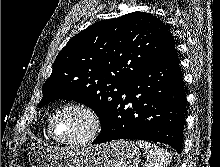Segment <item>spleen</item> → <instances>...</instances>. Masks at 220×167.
I'll return each mask as SVG.
<instances>
[{"label": "spleen", "mask_w": 220, "mask_h": 167, "mask_svg": "<svg viewBox=\"0 0 220 167\" xmlns=\"http://www.w3.org/2000/svg\"><path fill=\"white\" fill-rule=\"evenodd\" d=\"M136 144L146 151L144 167H166L169 164L171 156L165 149L142 140H137Z\"/></svg>", "instance_id": "spleen-1"}]
</instances>
